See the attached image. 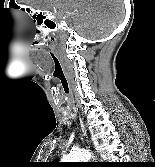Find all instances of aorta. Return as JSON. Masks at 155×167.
<instances>
[{
  "label": "aorta",
  "mask_w": 155,
  "mask_h": 167,
  "mask_svg": "<svg viewBox=\"0 0 155 167\" xmlns=\"http://www.w3.org/2000/svg\"><path fill=\"white\" fill-rule=\"evenodd\" d=\"M92 157V154L85 149L71 151L63 156V162H87Z\"/></svg>",
  "instance_id": "obj_1"
}]
</instances>
